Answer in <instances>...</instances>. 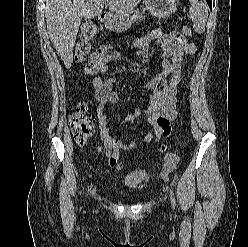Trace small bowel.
I'll use <instances>...</instances> for the list:
<instances>
[{"instance_id":"obj_1","label":"small bowel","mask_w":248,"mask_h":247,"mask_svg":"<svg viewBox=\"0 0 248 247\" xmlns=\"http://www.w3.org/2000/svg\"><path fill=\"white\" fill-rule=\"evenodd\" d=\"M151 38H141L134 42L133 46L136 54L143 57L148 56V42ZM155 42L162 50V70L145 82L146 88L151 91L149 103L145 110H136L123 120V123L127 124L142 115L147 116V121L153 128L146 136L145 144L150 142L157 144L161 137H169L171 133L170 121L176 118V100L185 55L193 54L196 50L193 43L175 31L156 37ZM120 59L121 54L119 52L104 56L100 62L99 71L105 73L110 62ZM115 81V78L104 79L101 76H96L92 85L95 89V98L99 103V139L102 142L97 148V153H104L108 158L109 165L120 169V165L117 164L118 152L134 149L136 144L130 142L125 145L121 140L114 138L110 132L106 106L118 101V94L114 90ZM165 149V145L160 147L161 152H165ZM164 160V170L166 172L172 170L178 161L177 156L173 153H166Z\"/></svg>"}]
</instances>
